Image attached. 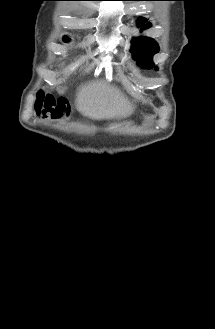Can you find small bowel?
<instances>
[{"label": "small bowel", "mask_w": 215, "mask_h": 329, "mask_svg": "<svg viewBox=\"0 0 215 329\" xmlns=\"http://www.w3.org/2000/svg\"><path fill=\"white\" fill-rule=\"evenodd\" d=\"M66 107H67V103H66ZM37 115L41 116L44 119L59 120L63 117L64 114H37Z\"/></svg>", "instance_id": "small-bowel-1"}]
</instances>
